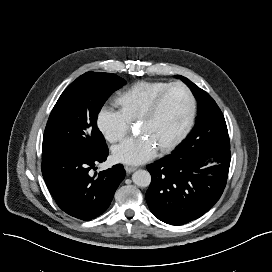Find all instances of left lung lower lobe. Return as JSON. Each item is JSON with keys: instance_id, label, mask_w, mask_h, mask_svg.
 Returning <instances> with one entry per match:
<instances>
[{"instance_id": "left-lung-lower-lobe-1", "label": "left lung lower lobe", "mask_w": 272, "mask_h": 272, "mask_svg": "<svg viewBox=\"0 0 272 272\" xmlns=\"http://www.w3.org/2000/svg\"><path fill=\"white\" fill-rule=\"evenodd\" d=\"M210 159L217 165L204 168ZM230 159V149L196 153L175 150L148 165L152 181L146 200L151 212L170 225L186 224L205 214L222 195Z\"/></svg>"}]
</instances>
